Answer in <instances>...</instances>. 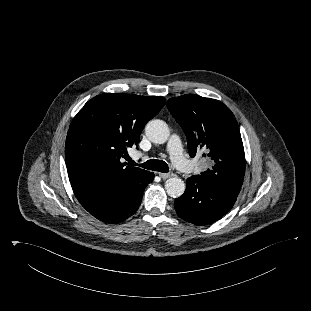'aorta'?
Here are the masks:
<instances>
[{"label":"aorta","instance_id":"obj_1","mask_svg":"<svg viewBox=\"0 0 311 311\" xmlns=\"http://www.w3.org/2000/svg\"><path fill=\"white\" fill-rule=\"evenodd\" d=\"M145 133L148 139L156 144L165 143L170 135L167 124L159 119L151 120L145 126ZM185 183L178 177L169 178L165 182V190L170 197L178 198L185 192Z\"/></svg>","mask_w":311,"mask_h":311}]
</instances>
